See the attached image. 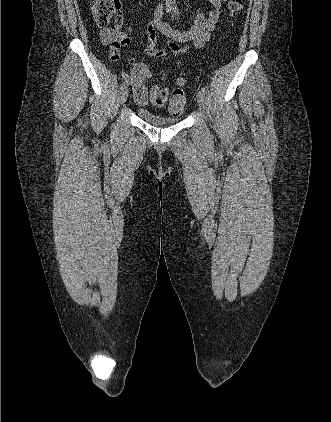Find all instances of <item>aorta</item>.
I'll list each match as a JSON object with an SVG mask.
<instances>
[{
  "instance_id": "obj_1",
  "label": "aorta",
  "mask_w": 331,
  "mask_h": 422,
  "mask_svg": "<svg viewBox=\"0 0 331 422\" xmlns=\"http://www.w3.org/2000/svg\"><path fill=\"white\" fill-rule=\"evenodd\" d=\"M172 4H173V0H165V6H166V10L167 11H172Z\"/></svg>"
}]
</instances>
